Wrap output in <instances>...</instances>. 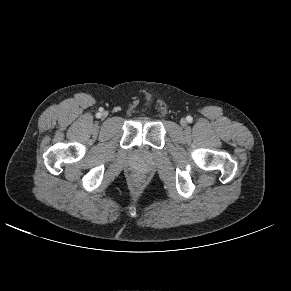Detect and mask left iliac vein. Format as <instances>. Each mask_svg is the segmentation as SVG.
<instances>
[{
    "instance_id": "obj_1",
    "label": "left iliac vein",
    "mask_w": 291,
    "mask_h": 291,
    "mask_svg": "<svg viewBox=\"0 0 291 291\" xmlns=\"http://www.w3.org/2000/svg\"><path fill=\"white\" fill-rule=\"evenodd\" d=\"M180 123H181V125H182L183 127L186 126V124H187V122H186L185 119H182V120L180 121Z\"/></svg>"
}]
</instances>
